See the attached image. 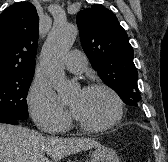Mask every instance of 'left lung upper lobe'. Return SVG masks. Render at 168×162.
Segmentation results:
<instances>
[{"label": "left lung upper lobe", "mask_w": 168, "mask_h": 162, "mask_svg": "<svg viewBox=\"0 0 168 162\" xmlns=\"http://www.w3.org/2000/svg\"><path fill=\"white\" fill-rule=\"evenodd\" d=\"M82 48L102 81L127 105L138 106V73L133 48L113 12L99 4L78 12Z\"/></svg>", "instance_id": "1"}]
</instances>
